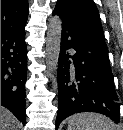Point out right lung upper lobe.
<instances>
[{
  "instance_id": "right-lung-upper-lobe-1",
  "label": "right lung upper lobe",
  "mask_w": 123,
  "mask_h": 130,
  "mask_svg": "<svg viewBox=\"0 0 123 130\" xmlns=\"http://www.w3.org/2000/svg\"><path fill=\"white\" fill-rule=\"evenodd\" d=\"M28 13V0H1V32L24 28Z\"/></svg>"
}]
</instances>
